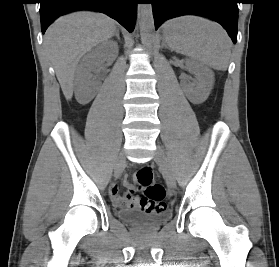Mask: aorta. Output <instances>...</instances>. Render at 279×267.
Wrapping results in <instances>:
<instances>
[{
  "label": "aorta",
  "instance_id": "762f6f07",
  "mask_svg": "<svg viewBox=\"0 0 279 267\" xmlns=\"http://www.w3.org/2000/svg\"><path fill=\"white\" fill-rule=\"evenodd\" d=\"M138 21L141 40L144 44L150 45L154 38V19L151 3L138 4Z\"/></svg>",
  "mask_w": 279,
  "mask_h": 267
}]
</instances>
